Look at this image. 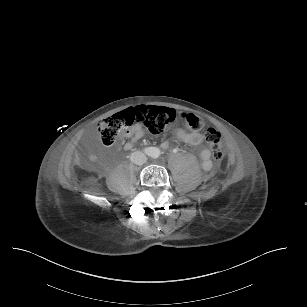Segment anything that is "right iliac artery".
Returning <instances> with one entry per match:
<instances>
[{
  "instance_id": "right-iliac-artery-1",
  "label": "right iliac artery",
  "mask_w": 307,
  "mask_h": 307,
  "mask_svg": "<svg viewBox=\"0 0 307 307\" xmlns=\"http://www.w3.org/2000/svg\"><path fill=\"white\" fill-rule=\"evenodd\" d=\"M153 149H150V148L145 149V154L150 155V153L153 151Z\"/></svg>"
}]
</instances>
